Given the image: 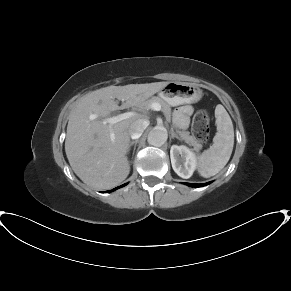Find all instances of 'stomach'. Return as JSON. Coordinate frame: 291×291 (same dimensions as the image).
<instances>
[{
  "label": "stomach",
  "mask_w": 291,
  "mask_h": 291,
  "mask_svg": "<svg viewBox=\"0 0 291 291\" xmlns=\"http://www.w3.org/2000/svg\"><path fill=\"white\" fill-rule=\"evenodd\" d=\"M159 96L169 105L197 102L202 96V90L194 85L182 82H168L159 91Z\"/></svg>",
  "instance_id": "1"
}]
</instances>
